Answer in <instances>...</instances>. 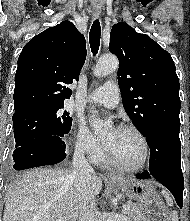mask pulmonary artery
Wrapping results in <instances>:
<instances>
[{"label": "pulmonary artery", "mask_w": 190, "mask_h": 221, "mask_svg": "<svg viewBox=\"0 0 190 221\" xmlns=\"http://www.w3.org/2000/svg\"><path fill=\"white\" fill-rule=\"evenodd\" d=\"M120 94L118 85L114 81H107L99 88L95 89L86 98L87 102L99 104L108 108H114L118 105Z\"/></svg>", "instance_id": "1"}]
</instances>
